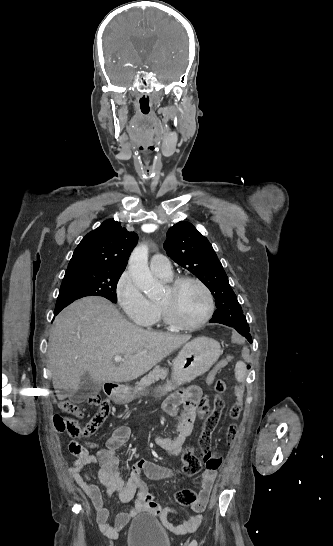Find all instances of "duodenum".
Wrapping results in <instances>:
<instances>
[{"mask_svg": "<svg viewBox=\"0 0 333 546\" xmlns=\"http://www.w3.org/2000/svg\"><path fill=\"white\" fill-rule=\"evenodd\" d=\"M106 390L108 395L113 399L118 398V396L121 394V389L118 385L108 384Z\"/></svg>", "mask_w": 333, "mask_h": 546, "instance_id": "1", "label": "duodenum"}]
</instances>
